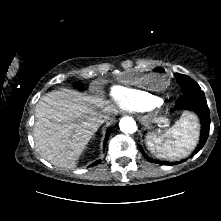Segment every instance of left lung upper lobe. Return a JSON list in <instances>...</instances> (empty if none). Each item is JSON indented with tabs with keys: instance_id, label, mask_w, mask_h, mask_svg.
<instances>
[{
	"instance_id": "1",
	"label": "left lung upper lobe",
	"mask_w": 221,
	"mask_h": 221,
	"mask_svg": "<svg viewBox=\"0 0 221 221\" xmlns=\"http://www.w3.org/2000/svg\"><path fill=\"white\" fill-rule=\"evenodd\" d=\"M175 77H176L179 85L181 86L183 94L200 90V86L197 84V82H195L189 76L176 73Z\"/></svg>"
}]
</instances>
